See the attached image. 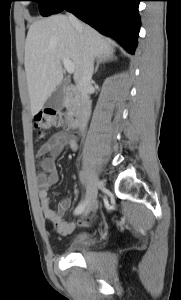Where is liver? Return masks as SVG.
<instances>
[{"label": "liver", "instance_id": "liver-1", "mask_svg": "<svg viewBox=\"0 0 181 300\" xmlns=\"http://www.w3.org/2000/svg\"><path fill=\"white\" fill-rule=\"evenodd\" d=\"M84 50L93 58L100 59L113 54L114 47L109 39L89 25L80 23V27L76 28L64 15H53L32 23L25 42L24 57L32 115L43 108L61 83L63 57L74 64V79L77 80Z\"/></svg>", "mask_w": 181, "mask_h": 300}]
</instances>
